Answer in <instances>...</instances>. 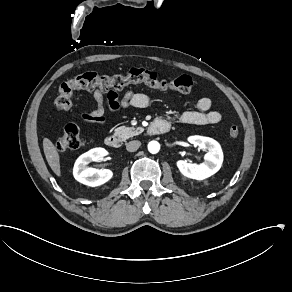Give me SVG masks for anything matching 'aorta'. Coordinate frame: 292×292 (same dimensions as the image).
Returning <instances> with one entry per match:
<instances>
[{
	"mask_svg": "<svg viewBox=\"0 0 292 292\" xmlns=\"http://www.w3.org/2000/svg\"><path fill=\"white\" fill-rule=\"evenodd\" d=\"M148 150L150 153H157L160 150V144L157 141H151L148 144Z\"/></svg>",
	"mask_w": 292,
	"mask_h": 292,
	"instance_id": "obj_1",
	"label": "aorta"
}]
</instances>
